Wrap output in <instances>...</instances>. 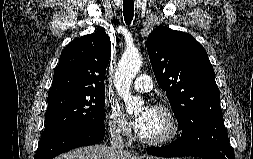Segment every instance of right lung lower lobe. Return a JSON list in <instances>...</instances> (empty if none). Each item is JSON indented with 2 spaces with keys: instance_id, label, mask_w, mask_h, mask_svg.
Segmentation results:
<instances>
[{
  "instance_id": "98d812e1",
  "label": "right lung lower lobe",
  "mask_w": 253,
  "mask_h": 159,
  "mask_svg": "<svg viewBox=\"0 0 253 159\" xmlns=\"http://www.w3.org/2000/svg\"><path fill=\"white\" fill-rule=\"evenodd\" d=\"M104 136L105 128L103 127H77L39 145L34 159H52L73 148L97 144Z\"/></svg>"
}]
</instances>
